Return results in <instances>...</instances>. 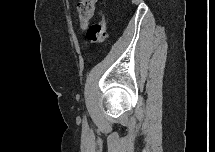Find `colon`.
Segmentation results:
<instances>
[{"label": "colon", "instance_id": "obj_1", "mask_svg": "<svg viewBox=\"0 0 215 152\" xmlns=\"http://www.w3.org/2000/svg\"><path fill=\"white\" fill-rule=\"evenodd\" d=\"M94 4V0H81L78 3L77 10L79 20L83 28L87 27L88 22L94 15ZM106 19L107 12L101 11L100 20L97 23L89 26L87 29L86 44L96 45L104 42L106 37Z\"/></svg>", "mask_w": 215, "mask_h": 152}]
</instances>
